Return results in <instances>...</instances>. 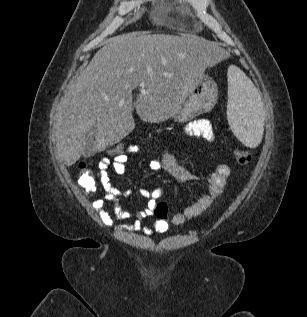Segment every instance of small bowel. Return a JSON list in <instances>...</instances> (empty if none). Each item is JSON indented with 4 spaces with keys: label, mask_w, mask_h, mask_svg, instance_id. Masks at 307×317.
<instances>
[{
    "label": "small bowel",
    "mask_w": 307,
    "mask_h": 317,
    "mask_svg": "<svg viewBox=\"0 0 307 317\" xmlns=\"http://www.w3.org/2000/svg\"><path fill=\"white\" fill-rule=\"evenodd\" d=\"M183 133L189 137H203L207 141H213L215 139L212 124L207 119H198L188 123L183 129ZM139 150V146H132V153H138ZM127 161V158L111 159L109 157H104L101 159L98 169L99 180L104 190V195L92 202V208L107 227L112 226L114 216L117 220L133 219L132 227L135 230H139L141 228V222L153 215L156 200L162 196L163 190L161 188L153 190L140 188L139 194L147 199L146 209L138 211L135 214L120 209L117 205L118 198L120 196H128L130 190L121 191L114 188L110 182L109 172L110 169H113L118 174H124L127 171ZM149 169L151 171L164 169L174 178L184 182L203 180L207 184L206 192L194 204L181 212L173 214L172 222L176 225L183 224L187 220L204 214L222 194L231 173V169L228 165L220 164L213 172L207 175L200 176L194 174L179 165L169 150H164L153 158L149 163ZM108 203L115 204L113 216L106 208ZM142 230L147 235L152 234L153 230L164 233L168 230V224L165 221H155L152 226H144Z\"/></svg>",
    "instance_id": "small-bowel-1"
}]
</instances>
